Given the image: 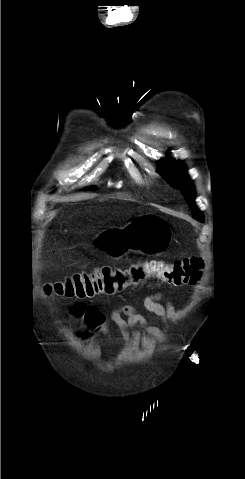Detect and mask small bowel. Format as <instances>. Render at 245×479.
<instances>
[{
	"mask_svg": "<svg viewBox=\"0 0 245 479\" xmlns=\"http://www.w3.org/2000/svg\"><path fill=\"white\" fill-rule=\"evenodd\" d=\"M159 300V295L148 296L143 300L142 305L163 320H171L179 316V311L172 303L162 304ZM85 313L86 319L94 330L103 333L106 337H109V323L111 322L117 326L124 341L133 339L142 343V336L137 327H141L158 341L163 340L159 329L149 325L146 318L132 305H124L113 310L109 318H106L95 305H85Z\"/></svg>",
	"mask_w": 245,
	"mask_h": 479,
	"instance_id": "1",
	"label": "small bowel"
}]
</instances>
